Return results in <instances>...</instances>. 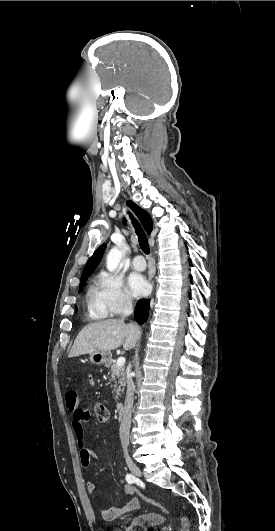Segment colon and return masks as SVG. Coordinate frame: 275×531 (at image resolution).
<instances>
[{
    "label": "colon",
    "instance_id": "1",
    "mask_svg": "<svg viewBox=\"0 0 275 531\" xmlns=\"http://www.w3.org/2000/svg\"><path fill=\"white\" fill-rule=\"evenodd\" d=\"M95 413H96V416H97L98 420H100L101 422H106L107 421V419H108V410H107V408H106V406L104 404L96 403V405H95ZM125 485H128V484H125ZM134 489L137 491L136 495H141V490H138L136 487H134ZM143 498L152 506H155V507H159L160 506V503L157 500L153 499V498L146 497V496H144ZM181 527H182L181 531H190L191 530V524H190V522H189V520L187 518L183 519Z\"/></svg>",
    "mask_w": 275,
    "mask_h": 531
}]
</instances>
